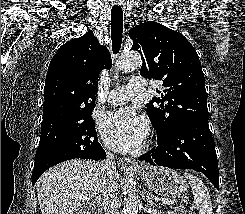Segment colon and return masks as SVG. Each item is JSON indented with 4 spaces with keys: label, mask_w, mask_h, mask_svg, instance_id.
Here are the masks:
<instances>
[{
    "label": "colon",
    "mask_w": 245,
    "mask_h": 214,
    "mask_svg": "<svg viewBox=\"0 0 245 214\" xmlns=\"http://www.w3.org/2000/svg\"><path fill=\"white\" fill-rule=\"evenodd\" d=\"M79 214H83V213H79ZM178 214H194V213H192L191 211H189V210H187V209L181 208V209L178 211Z\"/></svg>",
    "instance_id": "colon-1"
}]
</instances>
